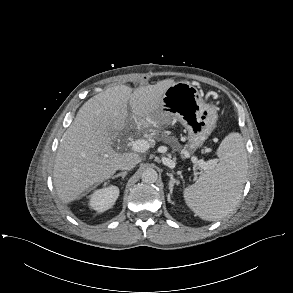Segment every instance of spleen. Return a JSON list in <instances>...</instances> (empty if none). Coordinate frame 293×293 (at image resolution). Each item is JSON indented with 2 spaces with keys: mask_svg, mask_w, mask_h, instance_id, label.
I'll return each instance as SVG.
<instances>
[{
  "mask_svg": "<svg viewBox=\"0 0 293 293\" xmlns=\"http://www.w3.org/2000/svg\"><path fill=\"white\" fill-rule=\"evenodd\" d=\"M219 163L184 189L188 207L201 219L217 221L227 216L240 199L247 174V154L239 133H230L217 149Z\"/></svg>",
  "mask_w": 293,
  "mask_h": 293,
  "instance_id": "3e777b00",
  "label": "spleen"
}]
</instances>
